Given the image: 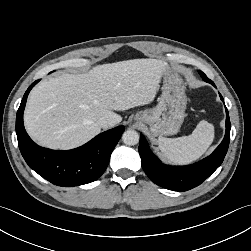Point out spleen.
I'll return each instance as SVG.
<instances>
[{"label":"spleen","instance_id":"3e777b00","mask_svg":"<svg viewBox=\"0 0 251 251\" xmlns=\"http://www.w3.org/2000/svg\"><path fill=\"white\" fill-rule=\"evenodd\" d=\"M214 140V126L200 121L191 135L178 138L159 137L158 146L164 157L175 164H189L199 159Z\"/></svg>","mask_w":251,"mask_h":251}]
</instances>
